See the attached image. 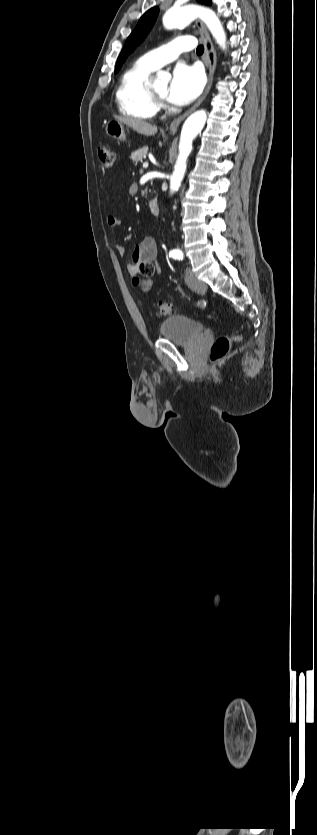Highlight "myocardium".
Returning <instances> with one entry per match:
<instances>
[{
    "instance_id": "f54148a6",
    "label": "myocardium",
    "mask_w": 317,
    "mask_h": 835,
    "mask_svg": "<svg viewBox=\"0 0 317 835\" xmlns=\"http://www.w3.org/2000/svg\"><path fill=\"white\" fill-rule=\"evenodd\" d=\"M149 90H150L151 96L153 97V99H154V100H155L158 104H160V103H163V102H164L165 97H162L161 95H159V94H158V93H157V92H156V91H155L152 87H149Z\"/></svg>"
}]
</instances>
